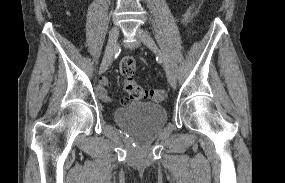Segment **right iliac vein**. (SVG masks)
Returning a JSON list of instances; mask_svg holds the SVG:
<instances>
[{
  "label": "right iliac vein",
  "mask_w": 285,
  "mask_h": 183,
  "mask_svg": "<svg viewBox=\"0 0 285 183\" xmlns=\"http://www.w3.org/2000/svg\"><path fill=\"white\" fill-rule=\"evenodd\" d=\"M118 37H119V28L117 26H114L111 28L109 32L106 52L100 66V73H104L110 66L116 52Z\"/></svg>",
  "instance_id": "obj_1"
}]
</instances>
